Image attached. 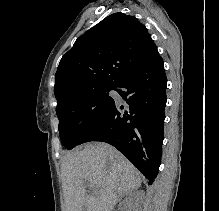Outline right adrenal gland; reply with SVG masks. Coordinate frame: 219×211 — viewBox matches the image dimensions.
<instances>
[{
	"instance_id": "2a0ac1e0",
	"label": "right adrenal gland",
	"mask_w": 219,
	"mask_h": 211,
	"mask_svg": "<svg viewBox=\"0 0 219 211\" xmlns=\"http://www.w3.org/2000/svg\"><path fill=\"white\" fill-rule=\"evenodd\" d=\"M131 193H133V191H129V193H124V195H131Z\"/></svg>"
}]
</instances>
